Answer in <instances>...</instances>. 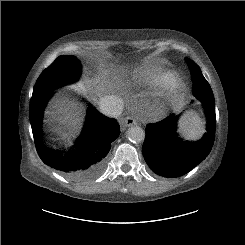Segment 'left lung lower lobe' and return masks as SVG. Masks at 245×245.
I'll return each instance as SVG.
<instances>
[{
    "label": "left lung lower lobe",
    "mask_w": 245,
    "mask_h": 245,
    "mask_svg": "<svg viewBox=\"0 0 245 245\" xmlns=\"http://www.w3.org/2000/svg\"><path fill=\"white\" fill-rule=\"evenodd\" d=\"M200 101L207 115V132L199 142L192 143L178 137L176 121L179 115L171 114L147 125L143 155L155 174L170 178L182 176L203 161L211 151L216 129L214 96L211 94Z\"/></svg>",
    "instance_id": "0a47b994"
}]
</instances>
